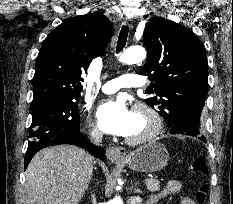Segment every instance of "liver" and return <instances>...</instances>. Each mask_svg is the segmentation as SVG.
I'll return each instance as SVG.
<instances>
[{"instance_id":"1","label":"liver","mask_w":233,"mask_h":204,"mask_svg":"<svg viewBox=\"0 0 233 204\" xmlns=\"http://www.w3.org/2000/svg\"><path fill=\"white\" fill-rule=\"evenodd\" d=\"M93 172L92 157L73 145L39 151L25 172L30 204H78Z\"/></svg>"}]
</instances>
